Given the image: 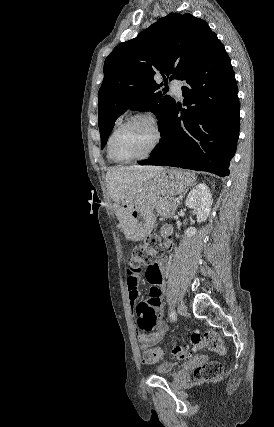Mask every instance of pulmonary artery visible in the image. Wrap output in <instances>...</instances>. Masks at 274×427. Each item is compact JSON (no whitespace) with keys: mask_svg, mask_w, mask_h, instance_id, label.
I'll list each match as a JSON object with an SVG mask.
<instances>
[{"mask_svg":"<svg viewBox=\"0 0 274 427\" xmlns=\"http://www.w3.org/2000/svg\"><path fill=\"white\" fill-rule=\"evenodd\" d=\"M171 89L177 98L182 99V85L180 83H173L171 85Z\"/></svg>","mask_w":274,"mask_h":427,"instance_id":"pulmonary-artery-1","label":"pulmonary artery"}]
</instances>
